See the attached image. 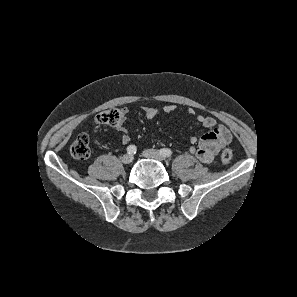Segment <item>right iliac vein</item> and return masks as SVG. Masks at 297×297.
<instances>
[{"mask_svg":"<svg viewBox=\"0 0 297 297\" xmlns=\"http://www.w3.org/2000/svg\"><path fill=\"white\" fill-rule=\"evenodd\" d=\"M133 156L132 155H130V154H125V155H123L122 156V158H121V161H122V163H124V164H129V163H131L132 161H133Z\"/></svg>","mask_w":297,"mask_h":297,"instance_id":"63e3f726","label":"right iliac vein"}]
</instances>
